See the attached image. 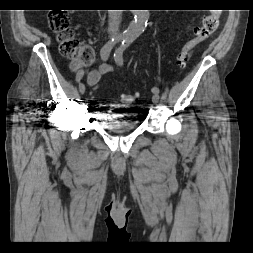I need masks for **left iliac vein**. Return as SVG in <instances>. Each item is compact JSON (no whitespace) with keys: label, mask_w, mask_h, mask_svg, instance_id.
Instances as JSON below:
<instances>
[{"label":"left iliac vein","mask_w":253,"mask_h":253,"mask_svg":"<svg viewBox=\"0 0 253 253\" xmlns=\"http://www.w3.org/2000/svg\"><path fill=\"white\" fill-rule=\"evenodd\" d=\"M152 102L156 105L159 102V95L154 93L152 96Z\"/></svg>","instance_id":"obj_1"}]
</instances>
